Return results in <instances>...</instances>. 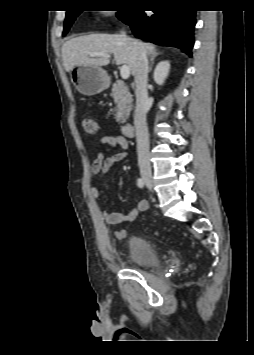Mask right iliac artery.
Instances as JSON below:
<instances>
[{"label":"right iliac artery","instance_id":"1","mask_svg":"<svg viewBox=\"0 0 254 355\" xmlns=\"http://www.w3.org/2000/svg\"><path fill=\"white\" fill-rule=\"evenodd\" d=\"M137 185H138L139 188H143L144 185H145L144 180L141 179V178H139V179L137 180Z\"/></svg>","mask_w":254,"mask_h":355}]
</instances>
